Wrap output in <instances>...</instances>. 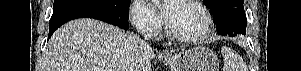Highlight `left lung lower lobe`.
Here are the masks:
<instances>
[{
	"label": "left lung lower lobe",
	"instance_id": "left-lung-lower-lobe-1",
	"mask_svg": "<svg viewBox=\"0 0 301 71\" xmlns=\"http://www.w3.org/2000/svg\"><path fill=\"white\" fill-rule=\"evenodd\" d=\"M218 35L236 36L246 34L247 19L244 8L229 7L222 10L221 14L214 17Z\"/></svg>",
	"mask_w": 301,
	"mask_h": 71
}]
</instances>
